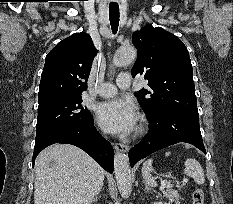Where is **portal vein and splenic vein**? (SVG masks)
<instances>
[{"label":"portal vein and splenic vein","mask_w":233,"mask_h":204,"mask_svg":"<svg viewBox=\"0 0 233 204\" xmlns=\"http://www.w3.org/2000/svg\"><path fill=\"white\" fill-rule=\"evenodd\" d=\"M166 187H167V188H170V187H172V184H171L170 181H167L166 179H164V180L162 181V183H161L160 190H163V189H165Z\"/></svg>","instance_id":"obj_1"}]
</instances>
